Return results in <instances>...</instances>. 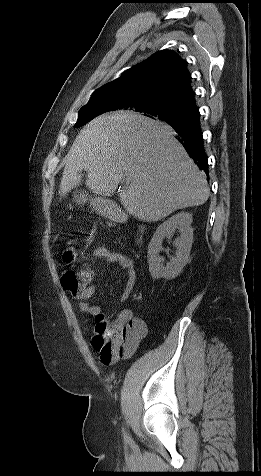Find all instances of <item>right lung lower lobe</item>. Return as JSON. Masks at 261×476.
Returning a JSON list of instances; mask_svg holds the SVG:
<instances>
[{"label": "right lung lower lobe", "instance_id": "obj_1", "mask_svg": "<svg viewBox=\"0 0 261 476\" xmlns=\"http://www.w3.org/2000/svg\"><path fill=\"white\" fill-rule=\"evenodd\" d=\"M168 124L177 133L179 141L189 156L208 175L207 156L204 150L198 107L185 111L181 118L168 122Z\"/></svg>", "mask_w": 261, "mask_h": 476}]
</instances>
